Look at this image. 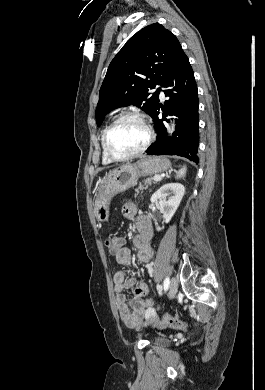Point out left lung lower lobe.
I'll return each mask as SVG.
<instances>
[{"label": "left lung lower lobe", "mask_w": 265, "mask_h": 390, "mask_svg": "<svg viewBox=\"0 0 265 390\" xmlns=\"http://www.w3.org/2000/svg\"><path fill=\"white\" fill-rule=\"evenodd\" d=\"M163 92L170 99L165 106L157 104L152 115L157 132L156 141L146 150L148 155H177L198 163L199 146L198 93L192 67L184 52L181 53L170 74L162 84ZM160 93V90H159ZM163 117L159 119V109ZM167 115L177 118L176 129L172 136H167L163 121Z\"/></svg>", "instance_id": "obj_1"}]
</instances>
